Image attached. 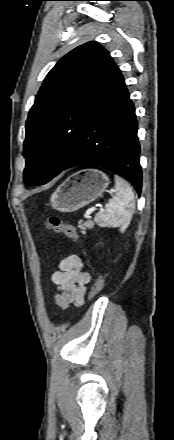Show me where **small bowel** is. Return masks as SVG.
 I'll use <instances>...</instances> for the list:
<instances>
[{"label":"small bowel","instance_id":"c3829d8e","mask_svg":"<svg viewBox=\"0 0 174 440\" xmlns=\"http://www.w3.org/2000/svg\"><path fill=\"white\" fill-rule=\"evenodd\" d=\"M51 280L57 286L56 303L63 309L84 304V296L91 280L90 274L84 269L82 258L77 254L63 258L58 269L51 273Z\"/></svg>","mask_w":174,"mask_h":440}]
</instances>
